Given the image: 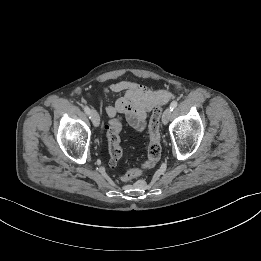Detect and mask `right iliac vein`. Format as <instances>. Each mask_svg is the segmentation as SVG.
<instances>
[{"mask_svg": "<svg viewBox=\"0 0 261 261\" xmlns=\"http://www.w3.org/2000/svg\"><path fill=\"white\" fill-rule=\"evenodd\" d=\"M90 116H91V120H92L94 126L98 127L100 124V117H99V114L97 113V111L92 109L90 112Z\"/></svg>", "mask_w": 261, "mask_h": 261, "instance_id": "1", "label": "right iliac vein"}]
</instances>
